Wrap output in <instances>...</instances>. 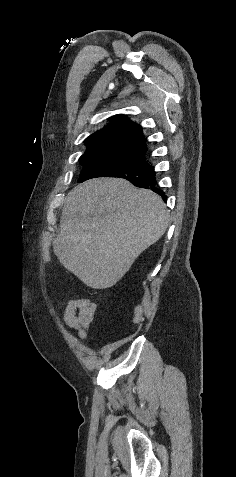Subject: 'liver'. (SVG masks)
Returning <instances> with one entry per match:
<instances>
[{"label":"liver","mask_w":236,"mask_h":477,"mask_svg":"<svg viewBox=\"0 0 236 477\" xmlns=\"http://www.w3.org/2000/svg\"><path fill=\"white\" fill-rule=\"evenodd\" d=\"M53 241L59 262L85 285H115L168 227L161 197L120 178H96L72 189Z\"/></svg>","instance_id":"1"}]
</instances>
